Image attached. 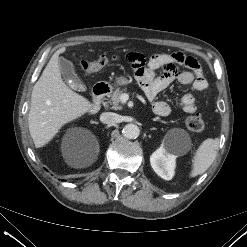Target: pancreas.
Segmentation results:
<instances>
[{
    "label": "pancreas",
    "instance_id": "cf45deb5",
    "mask_svg": "<svg viewBox=\"0 0 247 247\" xmlns=\"http://www.w3.org/2000/svg\"><path fill=\"white\" fill-rule=\"evenodd\" d=\"M126 89H116L110 96L108 103L112 105V109L114 110H121V95L125 94Z\"/></svg>",
    "mask_w": 247,
    "mask_h": 247
}]
</instances>
